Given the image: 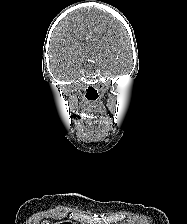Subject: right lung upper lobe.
<instances>
[{"mask_svg":"<svg viewBox=\"0 0 187 224\" xmlns=\"http://www.w3.org/2000/svg\"><path fill=\"white\" fill-rule=\"evenodd\" d=\"M63 224H71V223H63Z\"/></svg>","mask_w":187,"mask_h":224,"instance_id":"obj_1","label":"right lung upper lobe"}]
</instances>
